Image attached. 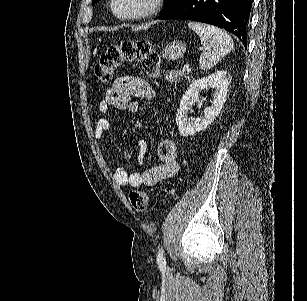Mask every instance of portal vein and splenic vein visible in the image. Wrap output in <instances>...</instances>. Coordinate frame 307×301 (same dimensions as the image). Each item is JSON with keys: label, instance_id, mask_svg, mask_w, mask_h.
Returning a JSON list of instances; mask_svg holds the SVG:
<instances>
[{"label": "portal vein and splenic vein", "instance_id": "1", "mask_svg": "<svg viewBox=\"0 0 307 301\" xmlns=\"http://www.w3.org/2000/svg\"><path fill=\"white\" fill-rule=\"evenodd\" d=\"M182 70H187V72H191L190 64H184Z\"/></svg>", "mask_w": 307, "mask_h": 301}]
</instances>
